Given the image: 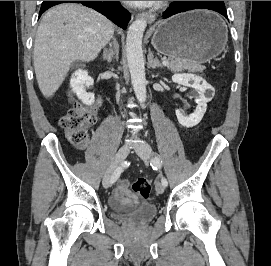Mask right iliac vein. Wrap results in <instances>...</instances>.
<instances>
[{
    "label": "right iliac vein",
    "instance_id": "right-iliac-vein-1",
    "mask_svg": "<svg viewBox=\"0 0 271 266\" xmlns=\"http://www.w3.org/2000/svg\"><path fill=\"white\" fill-rule=\"evenodd\" d=\"M129 151H130V149H129V146H127V145L121 147L118 150V152L114 156V158H113L107 172L104 175V178H103V186H104V188H109L111 186V184H112L111 178H112L114 170L128 156Z\"/></svg>",
    "mask_w": 271,
    "mask_h": 266
}]
</instances>
